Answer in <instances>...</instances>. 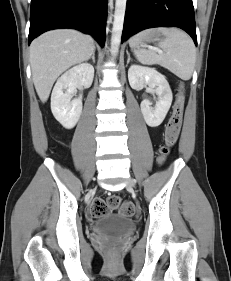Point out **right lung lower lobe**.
<instances>
[{
    "mask_svg": "<svg viewBox=\"0 0 231 281\" xmlns=\"http://www.w3.org/2000/svg\"><path fill=\"white\" fill-rule=\"evenodd\" d=\"M107 0H31L29 41L52 29L70 28L105 42Z\"/></svg>",
    "mask_w": 231,
    "mask_h": 281,
    "instance_id": "obj_1",
    "label": "right lung lower lobe"
}]
</instances>
